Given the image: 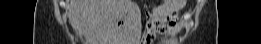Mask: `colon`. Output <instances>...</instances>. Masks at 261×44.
Instances as JSON below:
<instances>
[{
	"label": "colon",
	"instance_id": "1",
	"mask_svg": "<svg viewBox=\"0 0 261 44\" xmlns=\"http://www.w3.org/2000/svg\"><path fill=\"white\" fill-rule=\"evenodd\" d=\"M184 1H174V0H168L165 1L164 4H169L170 6H183Z\"/></svg>",
	"mask_w": 261,
	"mask_h": 44
}]
</instances>
